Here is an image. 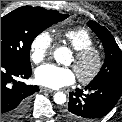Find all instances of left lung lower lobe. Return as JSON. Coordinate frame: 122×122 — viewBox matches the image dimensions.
Returning <instances> with one entry per match:
<instances>
[{"label":"left lung lower lobe","mask_w":122,"mask_h":122,"mask_svg":"<svg viewBox=\"0 0 122 122\" xmlns=\"http://www.w3.org/2000/svg\"><path fill=\"white\" fill-rule=\"evenodd\" d=\"M85 90L87 94H83V90L69 94L63 115L72 122H90L107 115L122 93V82L88 84Z\"/></svg>","instance_id":"0a47b994"}]
</instances>
